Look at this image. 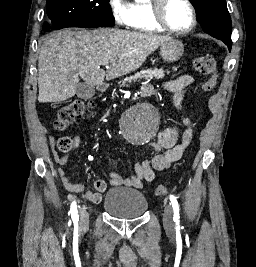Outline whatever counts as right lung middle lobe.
Masks as SVG:
<instances>
[{"label":"right lung middle lobe","mask_w":256,"mask_h":267,"mask_svg":"<svg viewBox=\"0 0 256 267\" xmlns=\"http://www.w3.org/2000/svg\"><path fill=\"white\" fill-rule=\"evenodd\" d=\"M109 0H47L45 31L65 27L113 26Z\"/></svg>","instance_id":"1"}]
</instances>
